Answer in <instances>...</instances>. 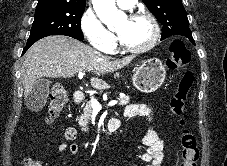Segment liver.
I'll list each match as a JSON object with an SVG mask.
<instances>
[{"instance_id":"6515ba94","label":"liver","mask_w":227,"mask_h":166,"mask_svg":"<svg viewBox=\"0 0 227 166\" xmlns=\"http://www.w3.org/2000/svg\"><path fill=\"white\" fill-rule=\"evenodd\" d=\"M132 57L111 60L99 51L74 38L53 35L37 41L27 52L21 68L24 97L27 100L35 81L42 77L70 78L79 72L93 71L100 76L127 66ZM91 86L103 89L105 82L91 79Z\"/></svg>"}]
</instances>
